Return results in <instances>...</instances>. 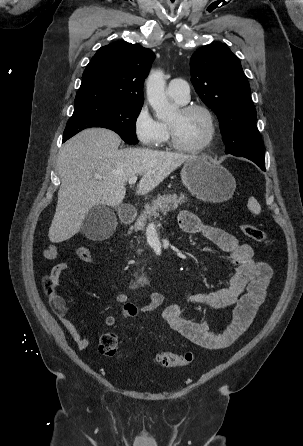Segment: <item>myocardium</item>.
<instances>
[{
  "label": "myocardium",
  "instance_id": "1",
  "mask_svg": "<svg viewBox=\"0 0 303 446\" xmlns=\"http://www.w3.org/2000/svg\"><path fill=\"white\" fill-rule=\"evenodd\" d=\"M178 110L182 114H187L193 111L202 112L207 119L209 126V133L205 141L202 142L201 144L197 146H185L178 141L174 127L171 124L167 123V131H168L170 146L179 152L192 153V154L200 153L206 150L208 147H210L213 141L215 140L217 133V126L212 111L207 106L200 103L184 104L180 106Z\"/></svg>",
  "mask_w": 303,
  "mask_h": 446
}]
</instances>
